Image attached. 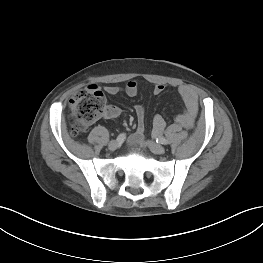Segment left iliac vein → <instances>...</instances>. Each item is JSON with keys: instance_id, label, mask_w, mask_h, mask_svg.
I'll use <instances>...</instances> for the list:
<instances>
[{"instance_id": "4c4485c4", "label": "left iliac vein", "mask_w": 263, "mask_h": 263, "mask_svg": "<svg viewBox=\"0 0 263 263\" xmlns=\"http://www.w3.org/2000/svg\"><path fill=\"white\" fill-rule=\"evenodd\" d=\"M148 147L154 154H163L165 152L163 146L152 141L148 142Z\"/></svg>"}]
</instances>
